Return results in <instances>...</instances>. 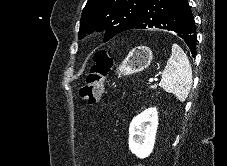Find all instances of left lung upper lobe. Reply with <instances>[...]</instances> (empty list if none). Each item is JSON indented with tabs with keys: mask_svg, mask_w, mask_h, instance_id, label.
I'll list each match as a JSON object with an SVG mask.
<instances>
[{
	"mask_svg": "<svg viewBox=\"0 0 227 166\" xmlns=\"http://www.w3.org/2000/svg\"><path fill=\"white\" fill-rule=\"evenodd\" d=\"M148 0H88L83 9L79 38L87 33L106 30L104 42L133 29Z\"/></svg>",
	"mask_w": 227,
	"mask_h": 166,
	"instance_id": "left-lung-upper-lobe-1",
	"label": "left lung upper lobe"
}]
</instances>
